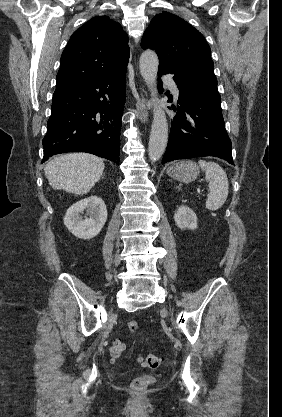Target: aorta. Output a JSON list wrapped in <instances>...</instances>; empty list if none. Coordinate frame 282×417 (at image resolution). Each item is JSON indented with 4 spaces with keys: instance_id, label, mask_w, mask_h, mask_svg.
I'll return each mask as SVG.
<instances>
[{
    "instance_id": "obj_1",
    "label": "aorta",
    "mask_w": 282,
    "mask_h": 417,
    "mask_svg": "<svg viewBox=\"0 0 282 417\" xmlns=\"http://www.w3.org/2000/svg\"><path fill=\"white\" fill-rule=\"evenodd\" d=\"M159 58L154 50H144L139 60V70L147 86L150 88L152 98H155L153 108V122L148 142V154L151 160H159L167 146L168 122L165 110L157 102L156 78Z\"/></svg>"
}]
</instances>
